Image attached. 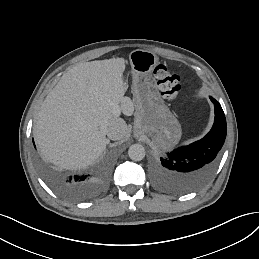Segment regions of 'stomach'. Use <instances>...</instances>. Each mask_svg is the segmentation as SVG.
Masks as SVG:
<instances>
[{
  "label": "stomach",
  "mask_w": 259,
  "mask_h": 259,
  "mask_svg": "<svg viewBox=\"0 0 259 259\" xmlns=\"http://www.w3.org/2000/svg\"><path fill=\"white\" fill-rule=\"evenodd\" d=\"M129 60L133 75H150L159 62L155 53L140 49L132 51Z\"/></svg>",
  "instance_id": "0dacf381"
}]
</instances>
